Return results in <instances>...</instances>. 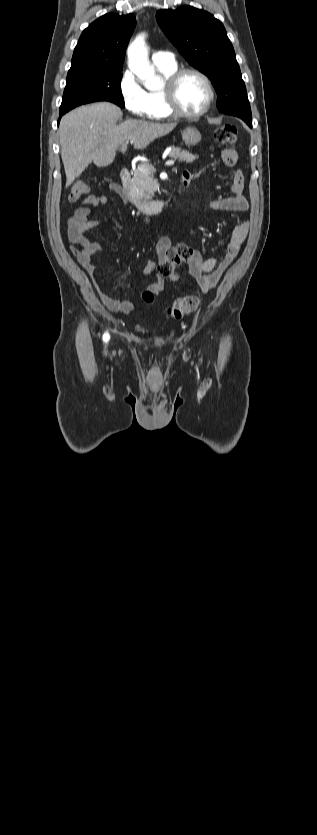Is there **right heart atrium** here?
Segmentation results:
<instances>
[{
  "instance_id": "1",
  "label": "right heart atrium",
  "mask_w": 317,
  "mask_h": 835,
  "mask_svg": "<svg viewBox=\"0 0 317 835\" xmlns=\"http://www.w3.org/2000/svg\"><path fill=\"white\" fill-rule=\"evenodd\" d=\"M118 87L123 103L130 113L141 118L151 116L147 92L132 71L127 69L122 73Z\"/></svg>"
}]
</instances>
